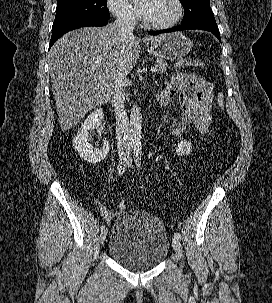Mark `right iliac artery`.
I'll list each match as a JSON object with an SVG mask.
<instances>
[{"label":"right iliac artery","mask_w":272,"mask_h":303,"mask_svg":"<svg viewBox=\"0 0 272 303\" xmlns=\"http://www.w3.org/2000/svg\"><path fill=\"white\" fill-rule=\"evenodd\" d=\"M135 146L134 145H131V147L129 148L130 150H132ZM129 163L128 159H125L123 162H121V164L118 166L117 168V172L118 174L121 176L124 174L125 170H126V167H127V164ZM107 229L105 225H102L101 226V231Z\"/></svg>","instance_id":"1"}]
</instances>
